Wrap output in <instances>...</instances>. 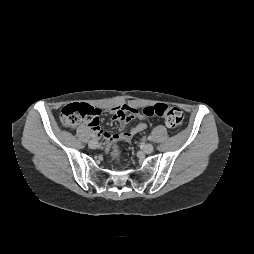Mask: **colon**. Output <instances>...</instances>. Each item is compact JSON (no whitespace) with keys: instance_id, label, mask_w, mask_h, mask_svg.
Returning <instances> with one entry per match:
<instances>
[{"instance_id":"obj_1","label":"colon","mask_w":254,"mask_h":254,"mask_svg":"<svg viewBox=\"0 0 254 254\" xmlns=\"http://www.w3.org/2000/svg\"><path fill=\"white\" fill-rule=\"evenodd\" d=\"M147 117L156 116L161 118L166 126L171 129H178L183 122V112L174 106L165 103H157L147 106L142 110ZM97 109L88 104H69L62 108L60 112V121L66 127H74L82 122L92 123L98 118ZM128 142L126 140H121Z\"/></svg>"}]
</instances>
